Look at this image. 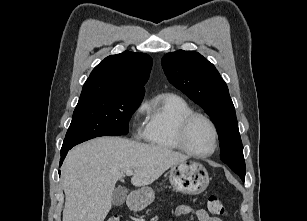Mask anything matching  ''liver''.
Instances as JSON below:
<instances>
[{"label": "liver", "mask_w": 307, "mask_h": 221, "mask_svg": "<svg viewBox=\"0 0 307 221\" xmlns=\"http://www.w3.org/2000/svg\"><path fill=\"white\" fill-rule=\"evenodd\" d=\"M188 156L125 138L100 137L70 150L62 166L63 221H104L118 180L134 171L131 183L145 187Z\"/></svg>", "instance_id": "6515ba94"}]
</instances>
